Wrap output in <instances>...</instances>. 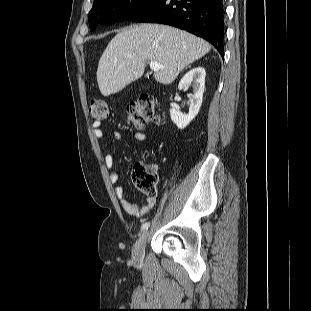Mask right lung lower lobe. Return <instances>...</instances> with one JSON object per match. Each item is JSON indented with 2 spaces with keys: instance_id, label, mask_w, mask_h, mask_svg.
<instances>
[{
  "instance_id": "1",
  "label": "right lung lower lobe",
  "mask_w": 311,
  "mask_h": 311,
  "mask_svg": "<svg viewBox=\"0 0 311 311\" xmlns=\"http://www.w3.org/2000/svg\"><path fill=\"white\" fill-rule=\"evenodd\" d=\"M224 16L223 0H157L129 19L191 32L210 42L223 57Z\"/></svg>"
}]
</instances>
